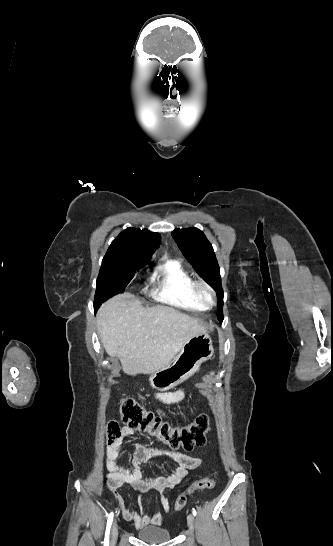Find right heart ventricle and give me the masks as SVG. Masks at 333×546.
<instances>
[{
    "mask_svg": "<svg viewBox=\"0 0 333 546\" xmlns=\"http://www.w3.org/2000/svg\"><path fill=\"white\" fill-rule=\"evenodd\" d=\"M193 278L175 259L160 265L152 276V297L165 305L193 312L207 310L193 295Z\"/></svg>",
    "mask_w": 333,
    "mask_h": 546,
    "instance_id": "e07e8e85",
    "label": "right heart ventricle"
}]
</instances>
